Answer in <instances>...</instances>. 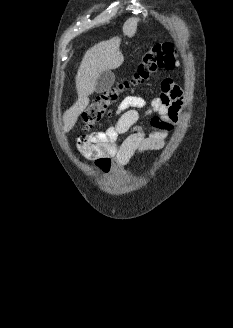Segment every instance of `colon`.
Segmentation results:
<instances>
[{
    "mask_svg": "<svg viewBox=\"0 0 233 328\" xmlns=\"http://www.w3.org/2000/svg\"><path fill=\"white\" fill-rule=\"evenodd\" d=\"M178 65V52L172 44L160 43L149 47L144 52L142 60L131 78L121 81L92 100L82 114L84 129H92L108 112L109 107L121 98L124 91L144 83L158 70H172ZM151 124L156 131L167 132L172 127V121L160 115L155 116ZM109 163L107 158L98 160V165L101 167H107Z\"/></svg>",
    "mask_w": 233,
    "mask_h": 328,
    "instance_id": "1",
    "label": "colon"
}]
</instances>
